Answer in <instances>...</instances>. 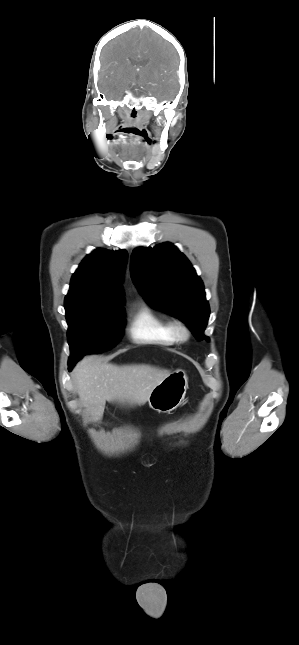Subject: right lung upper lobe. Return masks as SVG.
<instances>
[{
  "label": "right lung upper lobe",
  "mask_w": 299,
  "mask_h": 645,
  "mask_svg": "<svg viewBox=\"0 0 299 645\" xmlns=\"http://www.w3.org/2000/svg\"><path fill=\"white\" fill-rule=\"evenodd\" d=\"M127 256L125 250L104 249L87 255L72 276L65 305L122 306L121 284Z\"/></svg>",
  "instance_id": "right-lung-upper-lobe-1"
}]
</instances>
